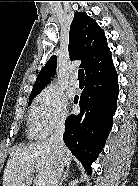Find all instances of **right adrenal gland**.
<instances>
[{"mask_svg": "<svg viewBox=\"0 0 138 186\" xmlns=\"http://www.w3.org/2000/svg\"><path fill=\"white\" fill-rule=\"evenodd\" d=\"M69 170H70V166L67 165L66 170L64 172V175H63V177L60 180L59 186H62L63 181L66 179V177L69 176Z\"/></svg>", "mask_w": 138, "mask_h": 186, "instance_id": "1", "label": "right adrenal gland"}]
</instances>
